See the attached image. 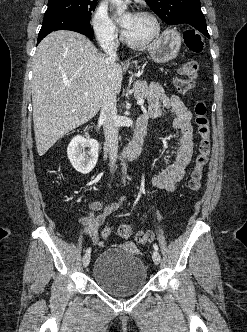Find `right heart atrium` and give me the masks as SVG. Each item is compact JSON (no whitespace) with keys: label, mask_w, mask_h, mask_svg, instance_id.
<instances>
[{"label":"right heart atrium","mask_w":247,"mask_h":332,"mask_svg":"<svg viewBox=\"0 0 247 332\" xmlns=\"http://www.w3.org/2000/svg\"><path fill=\"white\" fill-rule=\"evenodd\" d=\"M91 25L97 40L105 46H113L117 40V28L103 6H98L92 16Z\"/></svg>","instance_id":"d8ad5b80"}]
</instances>
